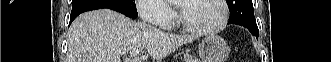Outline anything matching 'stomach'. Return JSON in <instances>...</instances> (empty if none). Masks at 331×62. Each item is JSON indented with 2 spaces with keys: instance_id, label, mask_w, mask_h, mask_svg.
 Masks as SVG:
<instances>
[{
  "instance_id": "0dacf381",
  "label": "stomach",
  "mask_w": 331,
  "mask_h": 62,
  "mask_svg": "<svg viewBox=\"0 0 331 62\" xmlns=\"http://www.w3.org/2000/svg\"><path fill=\"white\" fill-rule=\"evenodd\" d=\"M229 54L230 48L220 36L210 34L199 43L202 62H225Z\"/></svg>"
}]
</instances>
